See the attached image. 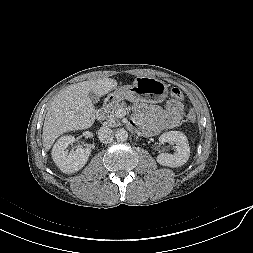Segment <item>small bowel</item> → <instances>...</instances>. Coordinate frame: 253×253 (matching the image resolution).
I'll return each mask as SVG.
<instances>
[{"instance_id":"small-bowel-1","label":"small bowel","mask_w":253,"mask_h":253,"mask_svg":"<svg viewBox=\"0 0 253 253\" xmlns=\"http://www.w3.org/2000/svg\"><path fill=\"white\" fill-rule=\"evenodd\" d=\"M184 116V107L181 102L170 100L165 108L147 103H138L134 106L133 124L142 126L147 134H158L179 124Z\"/></svg>"}]
</instances>
